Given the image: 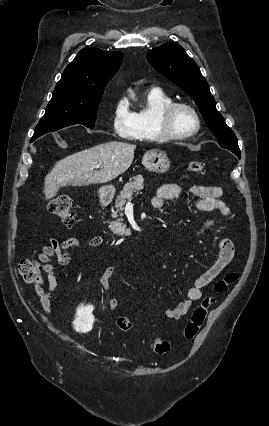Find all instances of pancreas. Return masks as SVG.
Returning a JSON list of instances; mask_svg holds the SVG:
<instances>
[{
    "label": "pancreas",
    "instance_id": "cf45deb5",
    "mask_svg": "<svg viewBox=\"0 0 269 426\" xmlns=\"http://www.w3.org/2000/svg\"><path fill=\"white\" fill-rule=\"evenodd\" d=\"M144 188V179L142 175L134 176L130 179V182L125 184L123 190L120 195L117 196L115 201V211H112V217L117 218L118 215H122V211L124 210V205L127 201L132 200L133 194L138 193V191ZM122 219H117L116 221L109 223V228L114 234L118 235H130V229L126 228L122 222Z\"/></svg>",
    "mask_w": 269,
    "mask_h": 426
}]
</instances>
